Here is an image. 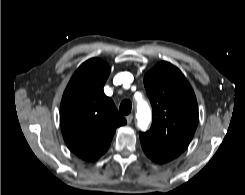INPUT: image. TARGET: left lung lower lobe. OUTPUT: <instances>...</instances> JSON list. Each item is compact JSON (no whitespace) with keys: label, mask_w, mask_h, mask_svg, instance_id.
Wrapping results in <instances>:
<instances>
[{"label":"left lung lower lobe","mask_w":245,"mask_h":195,"mask_svg":"<svg viewBox=\"0 0 245 195\" xmlns=\"http://www.w3.org/2000/svg\"><path fill=\"white\" fill-rule=\"evenodd\" d=\"M142 148L145 154L153 161L157 163H166L174 158L178 157L182 152H178L171 149L161 148L158 145L144 139L140 138Z\"/></svg>","instance_id":"obj_1"}]
</instances>
